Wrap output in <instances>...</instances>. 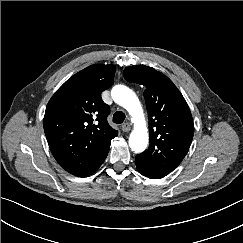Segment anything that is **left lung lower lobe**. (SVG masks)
<instances>
[{"mask_svg": "<svg viewBox=\"0 0 243 243\" xmlns=\"http://www.w3.org/2000/svg\"><path fill=\"white\" fill-rule=\"evenodd\" d=\"M136 168L142 175L149 177L151 179H159L165 176L164 174L141 168L138 164H136Z\"/></svg>", "mask_w": 243, "mask_h": 243, "instance_id": "obj_1", "label": "left lung lower lobe"}]
</instances>
